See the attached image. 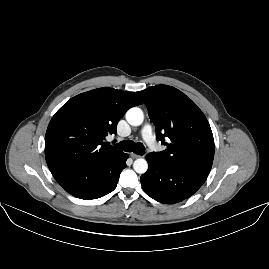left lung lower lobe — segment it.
<instances>
[{
  "label": "left lung lower lobe",
  "mask_w": 269,
  "mask_h": 269,
  "mask_svg": "<svg viewBox=\"0 0 269 269\" xmlns=\"http://www.w3.org/2000/svg\"><path fill=\"white\" fill-rule=\"evenodd\" d=\"M149 168L140 178L142 188L151 198L173 204L192 196L207 176L165 165L148 155Z\"/></svg>",
  "instance_id": "left-lung-lower-lobe-1"
}]
</instances>
